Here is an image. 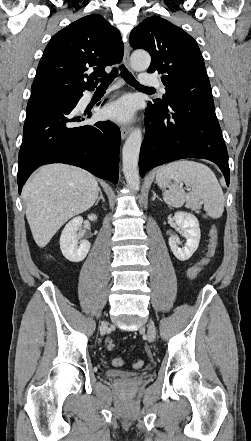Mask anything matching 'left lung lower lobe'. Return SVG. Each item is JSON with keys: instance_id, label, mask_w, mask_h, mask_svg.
Masks as SVG:
<instances>
[{"instance_id": "1", "label": "left lung lower lobe", "mask_w": 251, "mask_h": 441, "mask_svg": "<svg viewBox=\"0 0 251 441\" xmlns=\"http://www.w3.org/2000/svg\"><path fill=\"white\" fill-rule=\"evenodd\" d=\"M145 116L146 134L139 158L141 177L167 162L201 158L214 162L229 185L228 153L212 98L195 96L166 107L149 102Z\"/></svg>"}]
</instances>
